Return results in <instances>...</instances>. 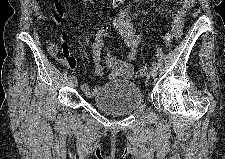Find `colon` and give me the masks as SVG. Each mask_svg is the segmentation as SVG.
Masks as SVG:
<instances>
[{"mask_svg": "<svg viewBox=\"0 0 225 159\" xmlns=\"http://www.w3.org/2000/svg\"><path fill=\"white\" fill-rule=\"evenodd\" d=\"M163 43L166 47H169L172 43V35L167 33L163 37ZM149 65L147 63L142 64V66L139 69V75L141 77H145L148 75L149 72Z\"/></svg>", "mask_w": 225, "mask_h": 159, "instance_id": "1", "label": "colon"}]
</instances>
